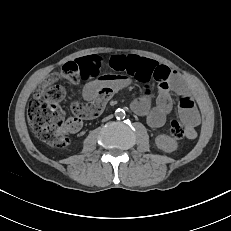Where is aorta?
<instances>
[{
    "mask_svg": "<svg viewBox=\"0 0 231 231\" xmlns=\"http://www.w3.org/2000/svg\"><path fill=\"white\" fill-rule=\"evenodd\" d=\"M116 118H123L125 116V111L122 109H117L115 112Z\"/></svg>",
    "mask_w": 231,
    "mask_h": 231,
    "instance_id": "1",
    "label": "aorta"
}]
</instances>
